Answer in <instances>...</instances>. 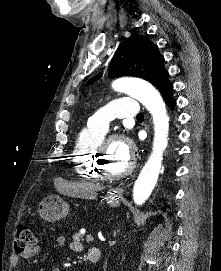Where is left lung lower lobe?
Listing matches in <instances>:
<instances>
[{
    "label": "left lung lower lobe",
    "instance_id": "0a47b994",
    "mask_svg": "<svg viewBox=\"0 0 221 271\" xmlns=\"http://www.w3.org/2000/svg\"><path fill=\"white\" fill-rule=\"evenodd\" d=\"M172 89H173V86L171 83H169L168 85H166L160 90V93L162 94V96L164 97L165 101L170 106V108L173 109L175 107V101L171 97Z\"/></svg>",
    "mask_w": 221,
    "mask_h": 271
}]
</instances>
